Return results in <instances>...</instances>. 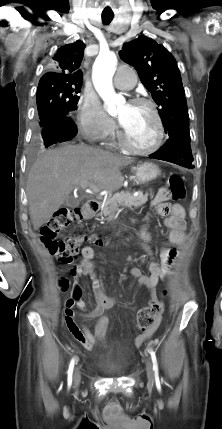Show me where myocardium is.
<instances>
[{
	"label": "myocardium",
	"instance_id": "obj_1",
	"mask_svg": "<svg viewBox=\"0 0 222 429\" xmlns=\"http://www.w3.org/2000/svg\"><path fill=\"white\" fill-rule=\"evenodd\" d=\"M132 103L144 105L150 110L156 124V140L154 144L148 148H138L128 140L126 133L121 126L118 131L119 141L122 146L131 153L137 155L153 154L161 148L164 141L165 128L162 118L159 114V111L157 110L156 105L150 99L144 97H136L132 100Z\"/></svg>",
	"mask_w": 222,
	"mask_h": 429
}]
</instances>
